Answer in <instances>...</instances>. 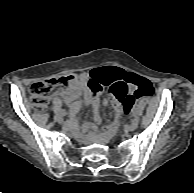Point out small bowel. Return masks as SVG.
Here are the masks:
<instances>
[{"instance_id":"1","label":"small bowel","mask_w":194,"mask_h":193,"mask_svg":"<svg viewBox=\"0 0 194 193\" xmlns=\"http://www.w3.org/2000/svg\"><path fill=\"white\" fill-rule=\"evenodd\" d=\"M124 75H126L125 71L117 67L95 68L82 74L78 80L76 88L80 91L81 96L76 95L74 87L59 89L55 95L57 97L63 98L66 101L70 107L71 113L74 115L80 110L83 104L90 106L92 108L93 120L95 123L100 124V101L96 93H93L90 89V83L92 81L101 84L109 83L115 79L123 77ZM129 90L131 93L136 95L137 91H141L142 89L138 88L136 85H130ZM102 105L106 106L107 101H103ZM115 114V121L112 124L102 127L99 131V137L101 139L108 140L116 132L121 115V107L119 105L115 106ZM72 128L79 137H84L88 130L95 129L94 126L89 123L84 124L80 129H78L75 125H73Z\"/></svg>"}]
</instances>
